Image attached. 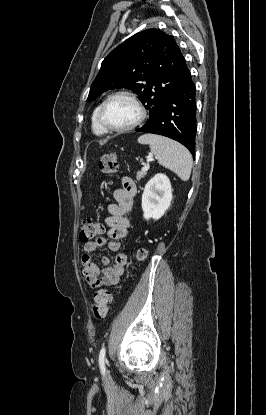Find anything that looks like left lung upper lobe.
<instances>
[{"instance_id":"left-lung-upper-lobe-1","label":"left lung upper lobe","mask_w":266,"mask_h":415,"mask_svg":"<svg viewBox=\"0 0 266 415\" xmlns=\"http://www.w3.org/2000/svg\"><path fill=\"white\" fill-rule=\"evenodd\" d=\"M186 71L185 58L172 36L158 29L144 30L103 60L87 100H95L110 89H129L149 110V123L179 87Z\"/></svg>"}]
</instances>
